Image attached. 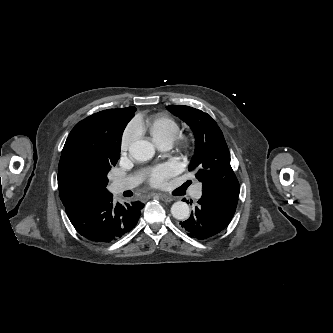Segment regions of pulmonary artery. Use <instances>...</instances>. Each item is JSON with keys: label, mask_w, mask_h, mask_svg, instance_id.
<instances>
[{"label": "pulmonary artery", "mask_w": 333, "mask_h": 333, "mask_svg": "<svg viewBox=\"0 0 333 333\" xmlns=\"http://www.w3.org/2000/svg\"><path fill=\"white\" fill-rule=\"evenodd\" d=\"M158 147L162 150H168L172 147L171 142H162L158 144ZM140 182L139 176H129L126 178H117L114 179L111 183V189L113 193L119 194L126 190L134 188ZM194 197L200 198L201 197V185L197 184L194 187Z\"/></svg>", "instance_id": "pulmonary-artery-1"}]
</instances>
